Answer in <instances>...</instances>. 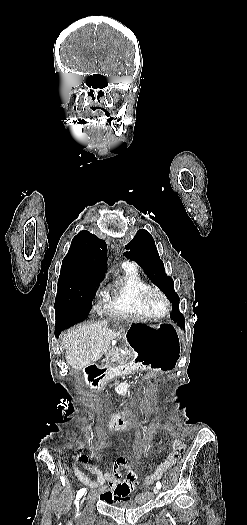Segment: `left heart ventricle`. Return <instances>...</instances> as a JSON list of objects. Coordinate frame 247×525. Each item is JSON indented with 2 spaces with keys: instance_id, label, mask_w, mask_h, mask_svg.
I'll list each match as a JSON object with an SVG mask.
<instances>
[{
  "instance_id": "1",
  "label": "left heart ventricle",
  "mask_w": 247,
  "mask_h": 525,
  "mask_svg": "<svg viewBox=\"0 0 247 525\" xmlns=\"http://www.w3.org/2000/svg\"><path fill=\"white\" fill-rule=\"evenodd\" d=\"M146 304L156 312H162L166 307L165 301L156 292H150L146 295Z\"/></svg>"
}]
</instances>
